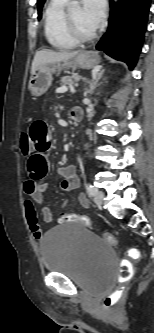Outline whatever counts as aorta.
Listing matches in <instances>:
<instances>
[{
	"instance_id": "aorta-1",
	"label": "aorta",
	"mask_w": 154,
	"mask_h": 333,
	"mask_svg": "<svg viewBox=\"0 0 154 333\" xmlns=\"http://www.w3.org/2000/svg\"><path fill=\"white\" fill-rule=\"evenodd\" d=\"M115 1H117V0H115ZM73 2H74V3H77V1H76V0H74Z\"/></svg>"
}]
</instances>
